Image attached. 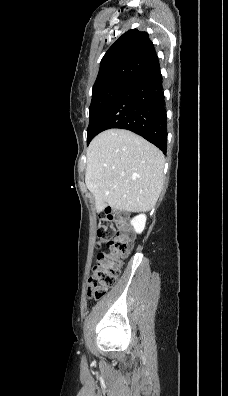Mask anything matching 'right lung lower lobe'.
<instances>
[{
  "instance_id": "1",
  "label": "right lung lower lobe",
  "mask_w": 228,
  "mask_h": 396,
  "mask_svg": "<svg viewBox=\"0 0 228 396\" xmlns=\"http://www.w3.org/2000/svg\"><path fill=\"white\" fill-rule=\"evenodd\" d=\"M95 128L96 135L111 128L130 130L165 154L166 109L158 59L116 97Z\"/></svg>"
}]
</instances>
